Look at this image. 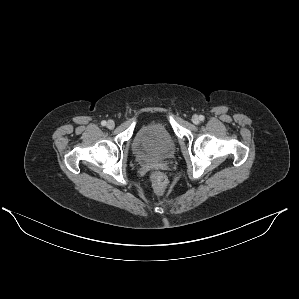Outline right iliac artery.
Instances as JSON below:
<instances>
[{
  "label": "right iliac artery",
  "instance_id": "right-iliac-artery-1",
  "mask_svg": "<svg viewBox=\"0 0 299 299\" xmlns=\"http://www.w3.org/2000/svg\"><path fill=\"white\" fill-rule=\"evenodd\" d=\"M101 125H102V126H105V125H106V121L103 120V121L101 122Z\"/></svg>",
  "mask_w": 299,
  "mask_h": 299
}]
</instances>
